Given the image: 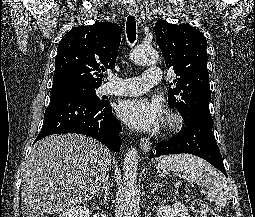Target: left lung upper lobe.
<instances>
[{"label":"left lung upper lobe","instance_id":"left-lung-upper-lobe-1","mask_svg":"<svg viewBox=\"0 0 255 217\" xmlns=\"http://www.w3.org/2000/svg\"><path fill=\"white\" fill-rule=\"evenodd\" d=\"M156 41L177 78L168 92V103L188 123L198 117H211V92L207 70V41L204 35L189 24H170L158 20Z\"/></svg>","mask_w":255,"mask_h":217}]
</instances>
